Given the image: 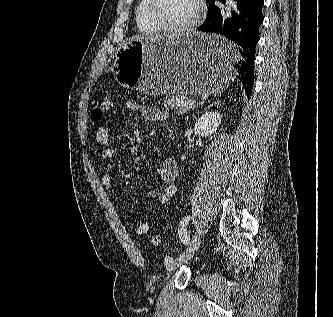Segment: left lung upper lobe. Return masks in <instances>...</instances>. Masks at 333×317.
<instances>
[{
  "mask_svg": "<svg viewBox=\"0 0 333 317\" xmlns=\"http://www.w3.org/2000/svg\"><path fill=\"white\" fill-rule=\"evenodd\" d=\"M207 2H210L211 0H206Z\"/></svg>",
  "mask_w": 333,
  "mask_h": 317,
  "instance_id": "1",
  "label": "left lung upper lobe"
}]
</instances>
